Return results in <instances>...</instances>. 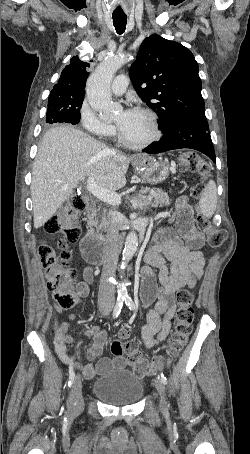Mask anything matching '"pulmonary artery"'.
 Masks as SVG:
<instances>
[{"mask_svg": "<svg viewBox=\"0 0 250 454\" xmlns=\"http://www.w3.org/2000/svg\"><path fill=\"white\" fill-rule=\"evenodd\" d=\"M127 86L128 77L126 75H119L113 80L111 84V91L113 94L121 95L125 92Z\"/></svg>", "mask_w": 250, "mask_h": 454, "instance_id": "obj_1", "label": "pulmonary artery"}]
</instances>
